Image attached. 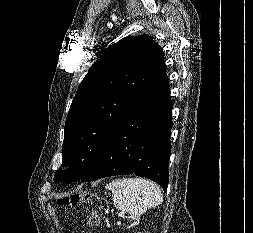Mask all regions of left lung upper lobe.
<instances>
[{"label":"left lung upper lobe","mask_w":253,"mask_h":233,"mask_svg":"<svg viewBox=\"0 0 253 233\" xmlns=\"http://www.w3.org/2000/svg\"><path fill=\"white\" fill-rule=\"evenodd\" d=\"M166 71L161 47L147 35L126 37L90 67L70 106L62 166L54 181L86 176L110 135L147 89Z\"/></svg>","instance_id":"left-lung-upper-lobe-1"}]
</instances>
